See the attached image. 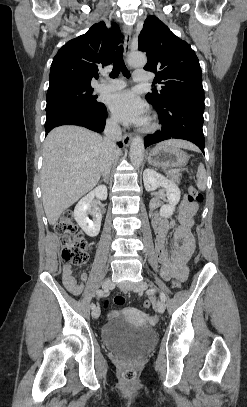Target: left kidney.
Listing matches in <instances>:
<instances>
[{
  "label": "left kidney",
  "mask_w": 247,
  "mask_h": 407,
  "mask_svg": "<svg viewBox=\"0 0 247 407\" xmlns=\"http://www.w3.org/2000/svg\"><path fill=\"white\" fill-rule=\"evenodd\" d=\"M143 181L145 189L148 192L155 191L159 187L165 188L168 204L161 206L160 215L164 218L171 217L181 196L180 189L176 183L152 169H146L144 171Z\"/></svg>",
  "instance_id": "obj_1"
}]
</instances>
